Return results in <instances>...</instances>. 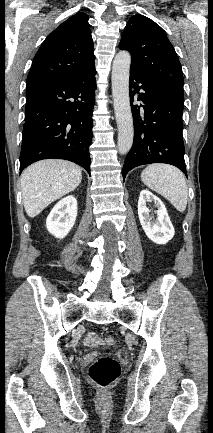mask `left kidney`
<instances>
[{"instance_id": "1", "label": "left kidney", "mask_w": 213, "mask_h": 433, "mask_svg": "<svg viewBox=\"0 0 213 433\" xmlns=\"http://www.w3.org/2000/svg\"><path fill=\"white\" fill-rule=\"evenodd\" d=\"M146 201H153L156 210L157 219L152 221L149 213L150 210L146 206ZM138 216L141 226L147 237L156 244H166L169 242L175 230L168 216L167 210L163 202L149 190H142L138 200Z\"/></svg>"}]
</instances>
